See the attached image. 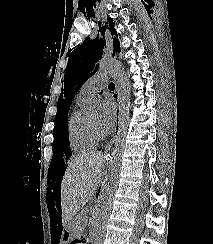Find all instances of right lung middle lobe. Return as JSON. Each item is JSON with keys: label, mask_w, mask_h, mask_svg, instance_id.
<instances>
[{"label": "right lung middle lobe", "mask_w": 213, "mask_h": 244, "mask_svg": "<svg viewBox=\"0 0 213 244\" xmlns=\"http://www.w3.org/2000/svg\"><path fill=\"white\" fill-rule=\"evenodd\" d=\"M54 134V143H53V157L51 160V164L49 167L48 172V180H50L53 176L58 175V172L64 167V155L66 156V159H69L67 155V152H70L69 149V142L67 140L68 146H65L59 139H57V134H55V130L53 132Z\"/></svg>", "instance_id": "right-lung-middle-lobe-1"}]
</instances>
